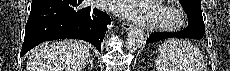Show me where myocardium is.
<instances>
[{"instance_id":"1","label":"myocardium","mask_w":230,"mask_h":71,"mask_svg":"<svg viewBox=\"0 0 230 71\" xmlns=\"http://www.w3.org/2000/svg\"><path fill=\"white\" fill-rule=\"evenodd\" d=\"M157 17L152 22V28L157 31L173 32L181 29L185 22L184 12L173 4H159L156 6Z\"/></svg>"}]
</instances>
